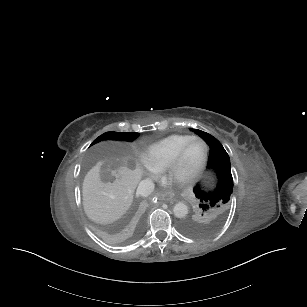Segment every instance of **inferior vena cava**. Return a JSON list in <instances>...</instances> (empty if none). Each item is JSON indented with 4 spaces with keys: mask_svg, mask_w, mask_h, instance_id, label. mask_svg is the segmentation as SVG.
<instances>
[{
    "mask_svg": "<svg viewBox=\"0 0 307 307\" xmlns=\"http://www.w3.org/2000/svg\"><path fill=\"white\" fill-rule=\"evenodd\" d=\"M154 183L151 179L147 178L142 180L137 188V196L147 197L154 191Z\"/></svg>",
    "mask_w": 307,
    "mask_h": 307,
    "instance_id": "obj_1",
    "label": "inferior vena cava"
}]
</instances>
